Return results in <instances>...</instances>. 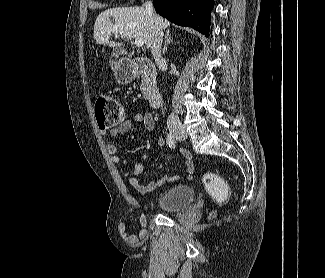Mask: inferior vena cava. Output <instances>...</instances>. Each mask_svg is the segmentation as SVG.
Returning <instances> with one entry per match:
<instances>
[{
  "label": "inferior vena cava",
  "instance_id": "obj_1",
  "mask_svg": "<svg viewBox=\"0 0 325 278\" xmlns=\"http://www.w3.org/2000/svg\"><path fill=\"white\" fill-rule=\"evenodd\" d=\"M146 10H147L148 14L154 19L155 14L153 11V3L151 0L147 1ZM162 41H163V31H162V29H160L159 27L156 26L155 35H154L152 46H151V53H152V56H153L155 62L158 65L165 63V61L161 55ZM168 122L178 124L180 121H179V118L177 115H175L174 113H171L168 118Z\"/></svg>",
  "mask_w": 325,
  "mask_h": 278
}]
</instances>
